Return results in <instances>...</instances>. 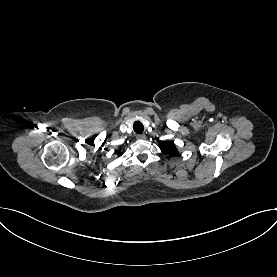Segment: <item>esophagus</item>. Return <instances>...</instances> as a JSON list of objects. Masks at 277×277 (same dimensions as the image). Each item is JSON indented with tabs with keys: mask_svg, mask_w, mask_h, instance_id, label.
I'll return each mask as SVG.
<instances>
[{
	"mask_svg": "<svg viewBox=\"0 0 277 277\" xmlns=\"http://www.w3.org/2000/svg\"><path fill=\"white\" fill-rule=\"evenodd\" d=\"M137 139H139V140H145L146 139V135L145 134H139V135H137Z\"/></svg>",
	"mask_w": 277,
	"mask_h": 277,
	"instance_id": "1",
	"label": "esophagus"
}]
</instances>
